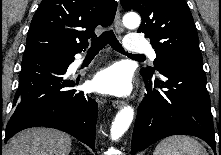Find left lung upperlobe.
<instances>
[{
  "label": "left lung upper lobe",
  "instance_id": "left-lung-upper-lobe-1",
  "mask_svg": "<svg viewBox=\"0 0 221 155\" xmlns=\"http://www.w3.org/2000/svg\"><path fill=\"white\" fill-rule=\"evenodd\" d=\"M125 10H136L142 17L138 28L150 38L156 52L154 68H142L140 73L153 75L171 60L202 62L198 35L185 0H120Z\"/></svg>",
  "mask_w": 221,
  "mask_h": 155
}]
</instances>
